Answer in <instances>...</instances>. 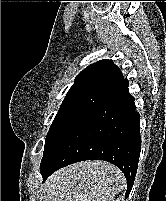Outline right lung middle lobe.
<instances>
[{
  "label": "right lung middle lobe",
  "instance_id": "right-lung-middle-lobe-1",
  "mask_svg": "<svg viewBox=\"0 0 166 201\" xmlns=\"http://www.w3.org/2000/svg\"><path fill=\"white\" fill-rule=\"evenodd\" d=\"M105 97L91 96L64 101L49 129L40 169L54 155L56 150L95 111Z\"/></svg>",
  "mask_w": 166,
  "mask_h": 201
}]
</instances>
